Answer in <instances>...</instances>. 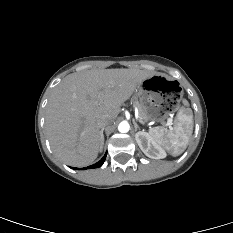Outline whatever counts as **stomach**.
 <instances>
[{"instance_id": "1", "label": "stomach", "mask_w": 233, "mask_h": 233, "mask_svg": "<svg viewBox=\"0 0 233 233\" xmlns=\"http://www.w3.org/2000/svg\"><path fill=\"white\" fill-rule=\"evenodd\" d=\"M136 93L147 121L156 124L166 122L184 96L180 82L163 74H153L145 78Z\"/></svg>"}]
</instances>
